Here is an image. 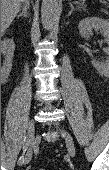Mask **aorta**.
I'll return each mask as SVG.
<instances>
[{
    "label": "aorta",
    "instance_id": "obj_1",
    "mask_svg": "<svg viewBox=\"0 0 109 170\" xmlns=\"http://www.w3.org/2000/svg\"><path fill=\"white\" fill-rule=\"evenodd\" d=\"M58 2L59 0H42L41 19L46 30L51 29L56 21Z\"/></svg>",
    "mask_w": 109,
    "mask_h": 170
}]
</instances>
